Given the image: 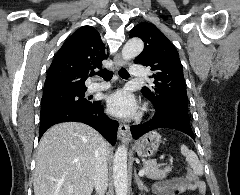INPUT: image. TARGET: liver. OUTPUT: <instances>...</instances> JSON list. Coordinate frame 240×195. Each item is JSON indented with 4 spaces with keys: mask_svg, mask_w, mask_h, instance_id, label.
<instances>
[{
    "mask_svg": "<svg viewBox=\"0 0 240 195\" xmlns=\"http://www.w3.org/2000/svg\"><path fill=\"white\" fill-rule=\"evenodd\" d=\"M102 135L78 121L56 123L37 147L35 195H91ZM113 147L107 145V155Z\"/></svg>",
    "mask_w": 240,
    "mask_h": 195,
    "instance_id": "obj_1",
    "label": "liver"
}]
</instances>
